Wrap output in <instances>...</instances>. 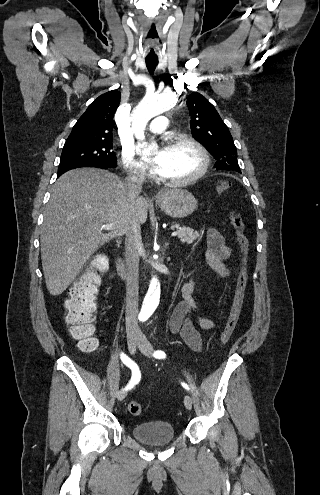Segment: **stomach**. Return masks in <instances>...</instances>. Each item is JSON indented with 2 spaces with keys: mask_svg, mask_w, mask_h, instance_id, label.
I'll return each instance as SVG.
<instances>
[{
  "mask_svg": "<svg viewBox=\"0 0 320 495\" xmlns=\"http://www.w3.org/2000/svg\"><path fill=\"white\" fill-rule=\"evenodd\" d=\"M156 202L162 211L174 218L187 217L197 209L196 198L182 189L163 191Z\"/></svg>",
  "mask_w": 320,
  "mask_h": 495,
  "instance_id": "0dacf381",
  "label": "stomach"
}]
</instances>
